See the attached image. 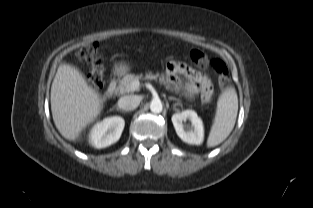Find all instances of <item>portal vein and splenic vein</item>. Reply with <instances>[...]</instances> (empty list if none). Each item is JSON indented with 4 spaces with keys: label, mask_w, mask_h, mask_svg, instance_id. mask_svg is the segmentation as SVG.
<instances>
[{
    "label": "portal vein and splenic vein",
    "mask_w": 313,
    "mask_h": 208,
    "mask_svg": "<svg viewBox=\"0 0 313 208\" xmlns=\"http://www.w3.org/2000/svg\"><path fill=\"white\" fill-rule=\"evenodd\" d=\"M139 86V82L138 81H134L133 82V87H138Z\"/></svg>",
    "instance_id": "1"
}]
</instances>
